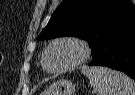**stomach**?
<instances>
[{
  "instance_id": "1",
  "label": "stomach",
  "mask_w": 135,
  "mask_h": 95,
  "mask_svg": "<svg viewBox=\"0 0 135 95\" xmlns=\"http://www.w3.org/2000/svg\"><path fill=\"white\" fill-rule=\"evenodd\" d=\"M76 85L67 79H59L53 82L40 95H74Z\"/></svg>"
}]
</instances>
